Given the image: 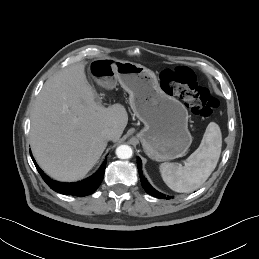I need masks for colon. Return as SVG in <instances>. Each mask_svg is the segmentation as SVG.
<instances>
[{"label":"colon","instance_id":"5ec220e1","mask_svg":"<svg viewBox=\"0 0 259 259\" xmlns=\"http://www.w3.org/2000/svg\"><path fill=\"white\" fill-rule=\"evenodd\" d=\"M162 89L182 100L195 115L207 119L218 108V101L200 86L194 72L187 67L165 69L160 74Z\"/></svg>","mask_w":259,"mask_h":259}]
</instances>
